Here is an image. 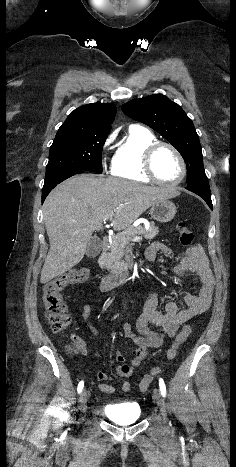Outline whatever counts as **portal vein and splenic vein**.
Returning <instances> with one entry per match:
<instances>
[{"mask_svg": "<svg viewBox=\"0 0 236 467\" xmlns=\"http://www.w3.org/2000/svg\"><path fill=\"white\" fill-rule=\"evenodd\" d=\"M106 220H110V217H106V218L104 219V221H106ZM131 240H132L133 242H137V241H140L141 238H140L139 236H135V237H133Z\"/></svg>", "mask_w": 236, "mask_h": 467, "instance_id": "18ae733b", "label": "portal vein and splenic vein"}]
</instances>
